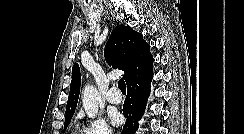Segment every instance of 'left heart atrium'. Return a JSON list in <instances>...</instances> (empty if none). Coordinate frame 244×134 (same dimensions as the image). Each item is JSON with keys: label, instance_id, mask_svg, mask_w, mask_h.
Returning a JSON list of instances; mask_svg holds the SVG:
<instances>
[{"label": "left heart atrium", "instance_id": "obj_1", "mask_svg": "<svg viewBox=\"0 0 244 134\" xmlns=\"http://www.w3.org/2000/svg\"><path fill=\"white\" fill-rule=\"evenodd\" d=\"M110 118L114 125H119L122 121V116L118 112H111Z\"/></svg>", "mask_w": 244, "mask_h": 134}]
</instances>
